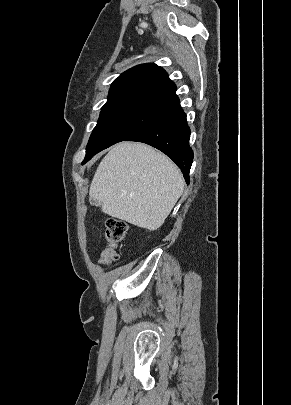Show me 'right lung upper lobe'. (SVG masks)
I'll return each mask as SVG.
<instances>
[{"instance_id": "cb5924a9", "label": "right lung upper lobe", "mask_w": 291, "mask_h": 405, "mask_svg": "<svg viewBox=\"0 0 291 405\" xmlns=\"http://www.w3.org/2000/svg\"><path fill=\"white\" fill-rule=\"evenodd\" d=\"M148 100L174 105L179 99L176 86L167 73L153 63L137 65L122 73L112 83L106 104Z\"/></svg>"}]
</instances>
